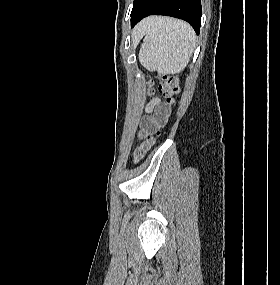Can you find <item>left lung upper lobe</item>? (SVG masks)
<instances>
[{
	"label": "left lung upper lobe",
	"instance_id": "obj_1",
	"mask_svg": "<svg viewBox=\"0 0 280 285\" xmlns=\"http://www.w3.org/2000/svg\"><path fill=\"white\" fill-rule=\"evenodd\" d=\"M135 2H136V0H134L133 6H134Z\"/></svg>",
	"mask_w": 280,
	"mask_h": 285
}]
</instances>
